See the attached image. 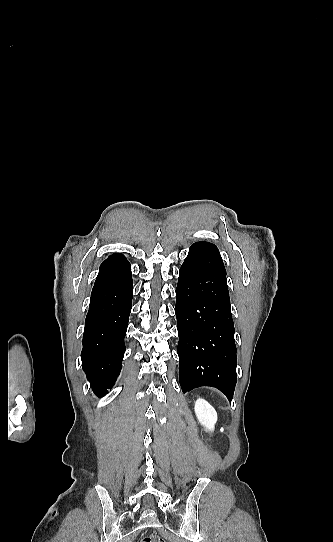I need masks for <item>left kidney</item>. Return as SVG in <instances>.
Segmentation results:
<instances>
[{
    "mask_svg": "<svg viewBox=\"0 0 333 542\" xmlns=\"http://www.w3.org/2000/svg\"><path fill=\"white\" fill-rule=\"evenodd\" d=\"M194 410L201 426H204L209 432H213L214 426L218 420L216 410H214L206 400H202V398H199V400L195 402Z\"/></svg>",
    "mask_w": 333,
    "mask_h": 542,
    "instance_id": "1",
    "label": "left kidney"
}]
</instances>
